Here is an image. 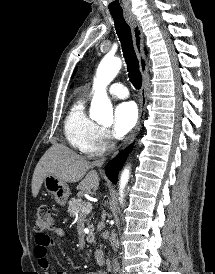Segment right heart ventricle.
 Segmentation results:
<instances>
[{
    "label": "right heart ventricle",
    "mask_w": 215,
    "mask_h": 274,
    "mask_svg": "<svg viewBox=\"0 0 215 274\" xmlns=\"http://www.w3.org/2000/svg\"><path fill=\"white\" fill-rule=\"evenodd\" d=\"M97 128L98 125L86 113L85 101L75 100L64 121V134L70 146L86 153L90 138Z\"/></svg>",
    "instance_id": "right-heart-ventricle-1"
}]
</instances>
